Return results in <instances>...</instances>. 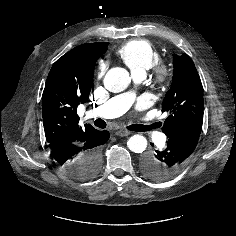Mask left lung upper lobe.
I'll return each instance as SVG.
<instances>
[{"instance_id": "1", "label": "left lung upper lobe", "mask_w": 236, "mask_h": 236, "mask_svg": "<svg viewBox=\"0 0 236 236\" xmlns=\"http://www.w3.org/2000/svg\"><path fill=\"white\" fill-rule=\"evenodd\" d=\"M173 61L172 84L162 103V111L169 112L162 128L168 137L203 123V87L195 65L186 54Z\"/></svg>"}]
</instances>
